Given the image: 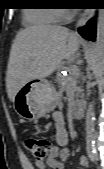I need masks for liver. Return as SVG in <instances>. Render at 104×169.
Returning <instances> with one entry per match:
<instances>
[{
  "instance_id": "liver-1",
  "label": "liver",
  "mask_w": 104,
  "mask_h": 169,
  "mask_svg": "<svg viewBox=\"0 0 104 169\" xmlns=\"http://www.w3.org/2000/svg\"><path fill=\"white\" fill-rule=\"evenodd\" d=\"M79 47L80 38L62 26L37 25L18 32L6 73L9 99L13 102L17 92L28 81L50 76L63 59L74 57Z\"/></svg>"
}]
</instances>
